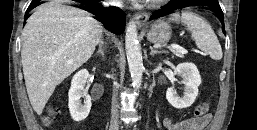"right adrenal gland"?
<instances>
[{"mask_svg":"<svg viewBox=\"0 0 257 130\" xmlns=\"http://www.w3.org/2000/svg\"><path fill=\"white\" fill-rule=\"evenodd\" d=\"M96 54H100L104 58L105 55H104V51H103V43L102 42L99 44V49Z\"/></svg>","mask_w":257,"mask_h":130,"instance_id":"2a0ac1e0","label":"right adrenal gland"}]
</instances>
